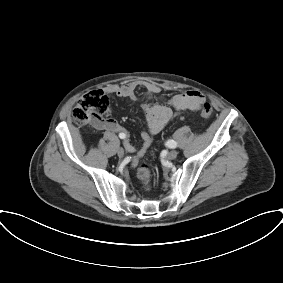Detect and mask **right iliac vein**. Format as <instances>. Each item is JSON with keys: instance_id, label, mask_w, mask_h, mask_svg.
<instances>
[{"instance_id": "right-iliac-vein-1", "label": "right iliac vein", "mask_w": 283, "mask_h": 283, "mask_svg": "<svg viewBox=\"0 0 283 283\" xmlns=\"http://www.w3.org/2000/svg\"><path fill=\"white\" fill-rule=\"evenodd\" d=\"M117 154H118V156H119L120 158H122V157L124 156V154H125L124 149H123V148H119V149L117 150Z\"/></svg>"}]
</instances>
